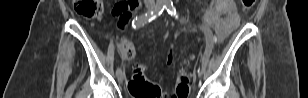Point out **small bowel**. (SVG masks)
<instances>
[{
    "mask_svg": "<svg viewBox=\"0 0 308 98\" xmlns=\"http://www.w3.org/2000/svg\"><path fill=\"white\" fill-rule=\"evenodd\" d=\"M140 7V2L139 1H136L135 4L133 5L132 9H137ZM215 27V29L217 30V32L219 33V36H220V40H224L228 34V29L226 28H223L221 25L215 23L213 25Z\"/></svg>",
    "mask_w": 308,
    "mask_h": 98,
    "instance_id": "small-bowel-1",
    "label": "small bowel"
}]
</instances>
